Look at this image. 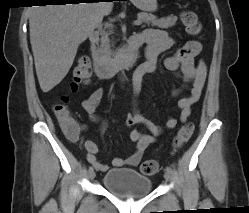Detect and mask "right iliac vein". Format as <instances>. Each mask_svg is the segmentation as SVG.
Wrapping results in <instances>:
<instances>
[{
	"instance_id": "right-iliac-vein-1",
	"label": "right iliac vein",
	"mask_w": 249,
	"mask_h": 213,
	"mask_svg": "<svg viewBox=\"0 0 249 213\" xmlns=\"http://www.w3.org/2000/svg\"><path fill=\"white\" fill-rule=\"evenodd\" d=\"M96 174L94 171L89 172V178L93 180L95 178Z\"/></svg>"
}]
</instances>
